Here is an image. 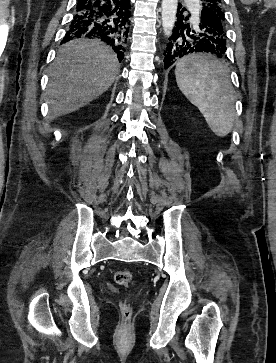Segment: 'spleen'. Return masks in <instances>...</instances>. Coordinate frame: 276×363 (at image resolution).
Masks as SVG:
<instances>
[{"label": "spleen", "instance_id": "1", "mask_svg": "<svg viewBox=\"0 0 276 363\" xmlns=\"http://www.w3.org/2000/svg\"><path fill=\"white\" fill-rule=\"evenodd\" d=\"M176 82L185 97L203 114L211 131L228 135L234 124L233 87L221 60L211 54H193L180 59Z\"/></svg>", "mask_w": 276, "mask_h": 363}]
</instances>
